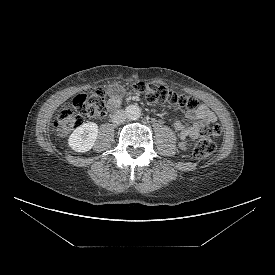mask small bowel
<instances>
[{"instance_id":"small-bowel-1","label":"small bowel","mask_w":275,"mask_h":275,"mask_svg":"<svg viewBox=\"0 0 275 275\" xmlns=\"http://www.w3.org/2000/svg\"><path fill=\"white\" fill-rule=\"evenodd\" d=\"M121 103V91L119 88L110 90L109 107L117 108ZM187 120H176L173 123L174 129L179 133L181 144L187 139H194L199 135L200 130L206 124L216 121L215 114L205 105L200 104L195 109L187 112Z\"/></svg>"}]
</instances>
